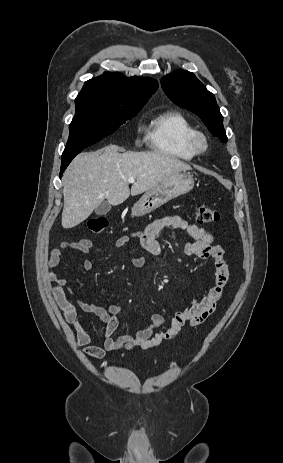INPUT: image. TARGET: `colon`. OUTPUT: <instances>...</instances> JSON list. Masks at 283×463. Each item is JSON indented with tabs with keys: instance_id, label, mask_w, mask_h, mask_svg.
<instances>
[{
	"instance_id": "5ec220e1",
	"label": "colon",
	"mask_w": 283,
	"mask_h": 463,
	"mask_svg": "<svg viewBox=\"0 0 283 463\" xmlns=\"http://www.w3.org/2000/svg\"><path fill=\"white\" fill-rule=\"evenodd\" d=\"M195 218L201 224L216 223L220 220V212L216 209L199 205L195 209ZM108 226V221L103 216L93 217L87 221V228L93 233H101Z\"/></svg>"
}]
</instances>
